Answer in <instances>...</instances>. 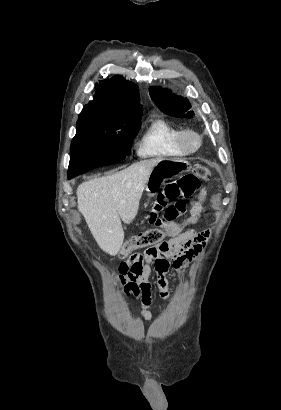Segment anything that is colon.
<instances>
[{
  "label": "colon",
  "instance_id": "obj_1",
  "mask_svg": "<svg viewBox=\"0 0 281 410\" xmlns=\"http://www.w3.org/2000/svg\"><path fill=\"white\" fill-rule=\"evenodd\" d=\"M211 176L208 167L198 164L191 174L167 184L152 207L150 223L153 227L128 239L122 246L119 256L127 258L137 249L159 244L165 235V227L176 223L175 221L185 214L186 200L196 193L201 181H207Z\"/></svg>",
  "mask_w": 281,
  "mask_h": 410
}]
</instances>
